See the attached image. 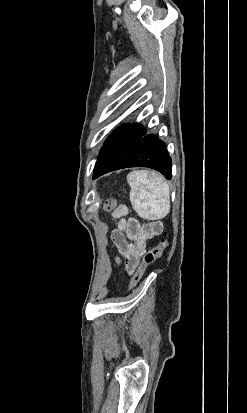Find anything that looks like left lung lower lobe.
<instances>
[{"label":"left lung lower lobe","instance_id":"1","mask_svg":"<svg viewBox=\"0 0 247 413\" xmlns=\"http://www.w3.org/2000/svg\"><path fill=\"white\" fill-rule=\"evenodd\" d=\"M141 125H124L104 143L95 165L93 179L113 170L128 167H150L172 178L171 158L163 141L146 135Z\"/></svg>","mask_w":247,"mask_h":413}]
</instances>
